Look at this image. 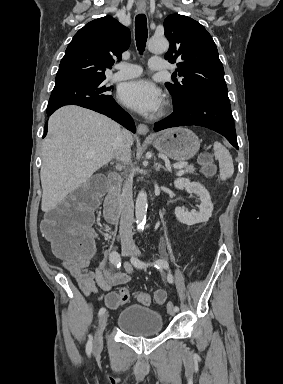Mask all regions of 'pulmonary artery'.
Segmentation results:
<instances>
[{"mask_svg": "<svg viewBox=\"0 0 283 384\" xmlns=\"http://www.w3.org/2000/svg\"><path fill=\"white\" fill-rule=\"evenodd\" d=\"M147 70L167 71L168 65L165 62L163 63V61H151V63L147 65ZM141 72L142 69L139 66L128 63H119L117 65V71L109 77V80L112 82L127 80L139 76Z\"/></svg>", "mask_w": 283, "mask_h": 384, "instance_id": "1", "label": "pulmonary artery"}]
</instances>
